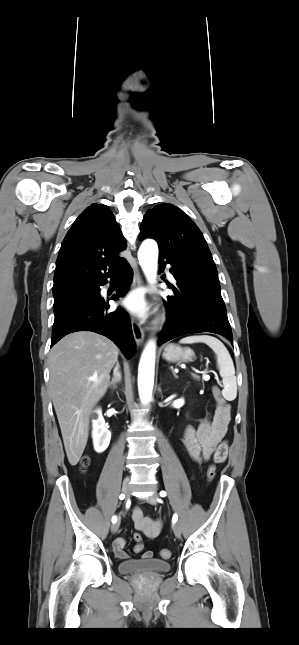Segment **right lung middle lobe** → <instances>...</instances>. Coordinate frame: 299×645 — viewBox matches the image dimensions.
<instances>
[{
  "mask_svg": "<svg viewBox=\"0 0 299 645\" xmlns=\"http://www.w3.org/2000/svg\"><path fill=\"white\" fill-rule=\"evenodd\" d=\"M94 294V284H75L53 291L55 317L79 303L91 300Z\"/></svg>",
  "mask_w": 299,
  "mask_h": 645,
  "instance_id": "1",
  "label": "right lung middle lobe"
}]
</instances>
